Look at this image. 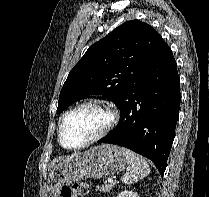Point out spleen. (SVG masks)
Returning <instances> with one entry per match:
<instances>
[{
	"label": "spleen",
	"mask_w": 209,
	"mask_h": 197,
	"mask_svg": "<svg viewBox=\"0 0 209 197\" xmlns=\"http://www.w3.org/2000/svg\"><path fill=\"white\" fill-rule=\"evenodd\" d=\"M122 152L128 163L127 171L121 178L124 184L137 182L150 173L149 165L142 156L126 148H122Z\"/></svg>",
	"instance_id": "1"
}]
</instances>
